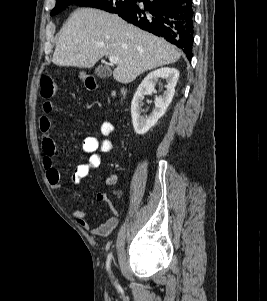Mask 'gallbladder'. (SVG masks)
<instances>
[{"mask_svg":"<svg viewBox=\"0 0 267 301\" xmlns=\"http://www.w3.org/2000/svg\"><path fill=\"white\" fill-rule=\"evenodd\" d=\"M111 70L104 66H99L95 69V75L98 78L105 79L111 76Z\"/></svg>","mask_w":267,"mask_h":301,"instance_id":"bac80fb5","label":"gallbladder"}]
</instances>
